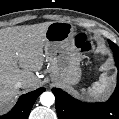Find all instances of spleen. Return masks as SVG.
I'll use <instances>...</instances> for the list:
<instances>
[{
	"mask_svg": "<svg viewBox=\"0 0 119 119\" xmlns=\"http://www.w3.org/2000/svg\"><path fill=\"white\" fill-rule=\"evenodd\" d=\"M107 86V78L104 75H102L99 81L94 82L92 86L87 89L86 93L90 97L98 98L106 91Z\"/></svg>",
	"mask_w": 119,
	"mask_h": 119,
	"instance_id": "spleen-1",
	"label": "spleen"
}]
</instances>
